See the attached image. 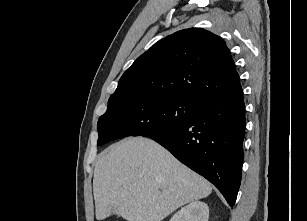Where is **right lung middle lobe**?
I'll return each instance as SVG.
<instances>
[{"label":"right lung middle lobe","mask_w":307,"mask_h":221,"mask_svg":"<svg viewBox=\"0 0 307 221\" xmlns=\"http://www.w3.org/2000/svg\"><path fill=\"white\" fill-rule=\"evenodd\" d=\"M201 105L180 98L142 95L108 103L97 124V145L126 136L150 137L187 122Z\"/></svg>","instance_id":"dd1d6c3e"}]
</instances>
